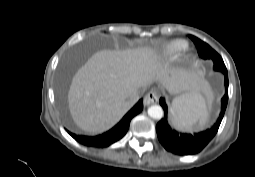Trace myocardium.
I'll return each mask as SVG.
<instances>
[{"label":"myocardium","instance_id":"myocardium-1","mask_svg":"<svg viewBox=\"0 0 255 177\" xmlns=\"http://www.w3.org/2000/svg\"><path fill=\"white\" fill-rule=\"evenodd\" d=\"M185 51H187V48H186L183 52H185ZM185 58L188 59V58H189V55L186 54Z\"/></svg>","mask_w":255,"mask_h":177}]
</instances>
